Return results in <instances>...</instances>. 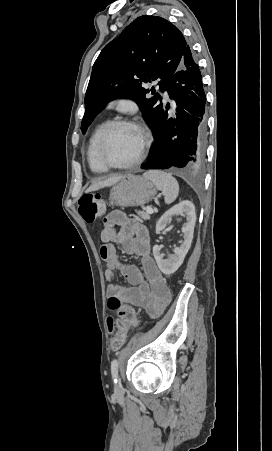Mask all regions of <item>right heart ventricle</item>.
Here are the masks:
<instances>
[{
	"label": "right heart ventricle",
	"instance_id": "e07e8e85",
	"mask_svg": "<svg viewBox=\"0 0 272 451\" xmlns=\"http://www.w3.org/2000/svg\"><path fill=\"white\" fill-rule=\"evenodd\" d=\"M103 125L98 127L96 129V131L94 132L91 140H90V144H89V148H88V166L90 171L93 174H101L102 172L100 171V166L97 160V155H96V146H97V141L100 135L101 130L103 129Z\"/></svg>",
	"mask_w": 272,
	"mask_h": 451
}]
</instances>
